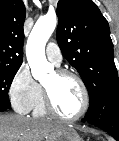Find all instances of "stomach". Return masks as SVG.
<instances>
[{
  "instance_id": "obj_1",
  "label": "stomach",
  "mask_w": 119,
  "mask_h": 141,
  "mask_svg": "<svg viewBox=\"0 0 119 141\" xmlns=\"http://www.w3.org/2000/svg\"><path fill=\"white\" fill-rule=\"evenodd\" d=\"M46 138V141H82L76 130L69 126L53 131Z\"/></svg>"
}]
</instances>
